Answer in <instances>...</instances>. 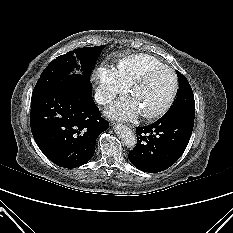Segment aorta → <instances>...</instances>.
I'll use <instances>...</instances> for the list:
<instances>
[{
  "instance_id": "1",
  "label": "aorta",
  "mask_w": 233,
  "mask_h": 233,
  "mask_svg": "<svg viewBox=\"0 0 233 233\" xmlns=\"http://www.w3.org/2000/svg\"><path fill=\"white\" fill-rule=\"evenodd\" d=\"M115 133L128 148H134L136 146L137 138L135 133L130 128L122 124H117L115 126Z\"/></svg>"
}]
</instances>
